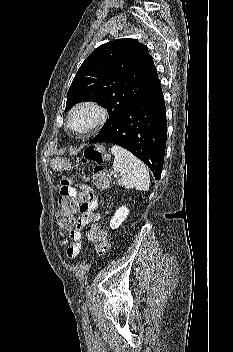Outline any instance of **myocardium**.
<instances>
[{
    "label": "myocardium",
    "mask_w": 233,
    "mask_h": 352,
    "mask_svg": "<svg viewBox=\"0 0 233 352\" xmlns=\"http://www.w3.org/2000/svg\"><path fill=\"white\" fill-rule=\"evenodd\" d=\"M80 111H91L93 113L92 120L83 128H77L74 126L73 120L77 113ZM108 119L107 110L98 102L92 100H86L76 104L68 115L67 124L71 131L85 135L89 134L100 127H102Z\"/></svg>",
    "instance_id": "myocardium-1"
}]
</instances>
